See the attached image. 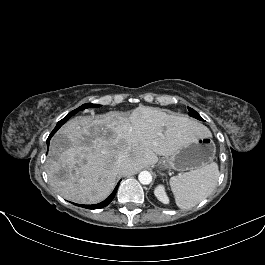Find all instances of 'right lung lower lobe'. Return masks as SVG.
Masks as SVG:
<instances>
[{
	"instance_id": "1",
	"label": "right lung lower lobe",
	"mask_w": 265,
	"mask_h": 265,
	"mask_svg": "<svg viewBox=\"0 0 265 265\" xmlns=\"http://www.w3.org/2000/svg\"><path fill=\"white\" fill-rule=\"evenodd\" d=\"M62 126V125H61ZM61 126H56L54 128V130L51 132V134L49 135L48 139H47V146H49V141L51 139V137L56 133V131L61 127ZM118 185L119 183L117 184V186L115 187L114 191L112 192V194L106 199L104 200L103 202L101 203H98V204H93V205H79V204H75L77 206H80V207H83V208H87V209H98V208H102V207H105L107 206L114 198L115 194H116V191L118 189Z\"/></svg>"
}]
</instances>
